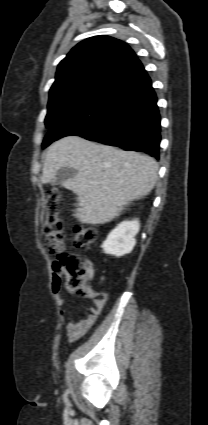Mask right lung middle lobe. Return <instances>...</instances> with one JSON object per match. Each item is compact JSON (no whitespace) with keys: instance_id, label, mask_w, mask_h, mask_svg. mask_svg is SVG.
<instances>
[{"instance_id":"1","label":"right lung middle lobe","mask_w":208,"mask_h":425,"mask_svg":"<svg viewBox=\"0 0 208 425\" xmlns=\"http://www.w3.org/2000/svg\"><path fill=\"white\" fill-rule=\"evenodd\" d=\"M102 92L103 90L99 89L81 90L50 101L48 103L45 125L51 127L58 118L85 107L98 98ZM50 143L49 138L45 137L42 147H47Z\"/></svg>"}]
</instances>
